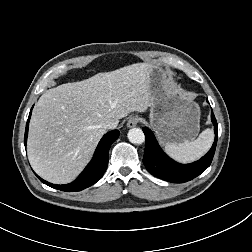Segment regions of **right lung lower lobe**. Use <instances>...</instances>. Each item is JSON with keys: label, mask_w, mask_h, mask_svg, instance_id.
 Masks as SVG:
<instances>
[{"label": "right lung lower lobe", "mask_w": 252, "mask_h": 252, "mask_svg": "<svg viewBox=\"0 0 252 252\" xmlns=\"http://www.w3.org/2000/svg\"><path fill=\"white\" fill-rule=\"evenodd\" d=\"M31 112L29 114L26 130H25V137H24V144L26 145L27 142V135H28V126L29 120L31 116ZM119 137V131L114 130L105 134L102 139L100 140L94 156L84 171L74 180L72 183L65 184V185H56L48 183L47 181L39 178L43 183L46 185L67 192H77L81 191L87 187L92 186L98 180H100L107 168L108 165V154L111 144Z\"/></svg>", "instance_id": "right-lung-lower-lobe-1"}]
</instances>
